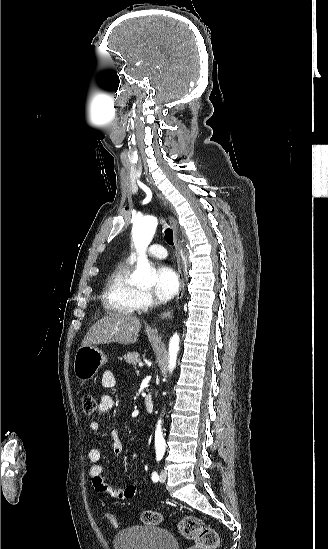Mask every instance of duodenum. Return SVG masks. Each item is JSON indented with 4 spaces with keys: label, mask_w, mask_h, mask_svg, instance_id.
I'll return each instance as SVG.
<instances>
[{
    "label": "duodenum",
    "mask_w": 328,
    "mask_h": 549,
    "mask_svg": "<svg viewBox=\"0 0 328 549\" xmlns=\"http://www.w3.org/2000/svg\"><path fill=\"white\" fill-rule=\"evenodd\" d=\"M145 408L148 412H152L154 409V401L150 394H146L144 397Z\"/></svg>",
    "instance_id": "1"
}]
</instances>
